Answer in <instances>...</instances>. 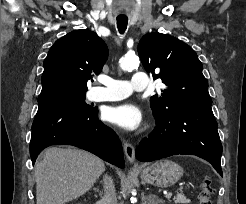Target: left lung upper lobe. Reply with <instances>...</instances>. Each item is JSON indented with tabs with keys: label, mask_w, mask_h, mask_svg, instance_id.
<instances>
[{
	"label": "left lung upper lobe",
	"mask_w": 246,
	"mask_h": 204,
	"mask_svg": "<svg viewBox=\"0 0 246 204\" xmlns=\"http://www.w3.org/2000/svg\"><path fill=\"white\" fill-rule=\"evenodd\" d=\"M138 54L146 71L167 86L161 96L150 99L155 120L175 108L211 106L202 63L189 45L170 35L148 33L138 44Z\"/></svg>",
	"instance_id": "obj_1"
}]
</instances>
